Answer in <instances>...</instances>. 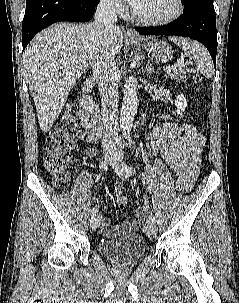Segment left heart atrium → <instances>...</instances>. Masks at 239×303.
Wrapping results in <instances>:
<instances>
[{"mask_svg": "<svg viewBox=\"0 0 239 303\" xmlns=\"http://www.w3.org/2000/svg\"><path fill=\"white\" fill-rule=\"evenodd\" d=\"M143 0H127V2L134 8H137Z\"/></svg>", "mask_w": 239, "mask_h": 303, "instance_id": "39dd6f15", "label": "left heart atrium"}]
</instances>
